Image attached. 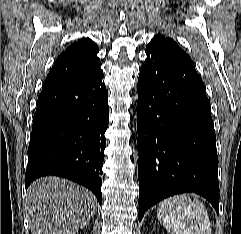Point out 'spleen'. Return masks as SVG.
I'll return each instance as SVG.
<instances>
[{"instance_id":"obj_1","label":"spleen","mask_w":241,"mask_h":234,"mask_svg":"<svg viewBox=\"0 0 241 234\" xmlns=\"http://www.w3.org/2000/svg\"><path fill=\"white\" fill-rule=\"evenodd\" d=\"M157 218L170 234H211L209 215L204 204L186 194L161 201Z\"/></svg>"}]
</instances>
